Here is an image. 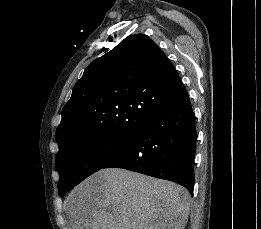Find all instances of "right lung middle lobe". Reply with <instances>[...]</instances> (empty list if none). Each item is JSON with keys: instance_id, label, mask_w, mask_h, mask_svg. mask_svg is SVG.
<instances>
[{"instance_id": "1", "label": "right lung middle lobe", "mask_w": 261, "mask_h": 229, "mask_svg": "<svg viewBox=\"0 0 261 229\" xmlns=\"http://www.w3.org/2000/svg\"><path fill=\"white\" fill-rule=\"evenodd\" d=\"M133 138L83 136L60 146L55 157L60 175L59 195L63 196L85 178L102 169L126 150Z\"/></svg>"}]
</instances>
